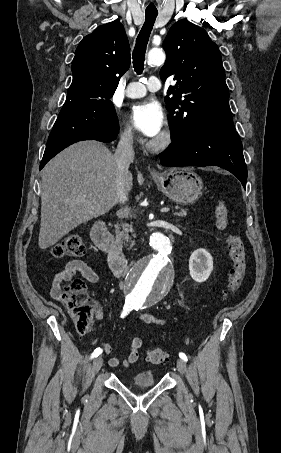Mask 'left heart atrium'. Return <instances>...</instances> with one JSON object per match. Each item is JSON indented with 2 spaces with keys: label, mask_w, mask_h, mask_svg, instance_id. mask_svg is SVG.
<instances>
[{
  "label": "left heart atrium",
  "mask_w": 281,
  "mask_h": 453,
  "mask_svg": "<svg viewBox=\"0 0 281 453\" xmlns=\"http://www.w3.org/2000/svg\"><path fill=\"white\" fill-rule=\"evenodd\" d=\"M130 119L140 132L153 138L163 129L164 112L159 103L144 101L133 106Z\"/></svg>",
  "instance_id": "1"
}]
</instances>
